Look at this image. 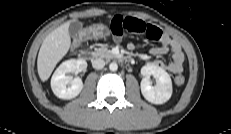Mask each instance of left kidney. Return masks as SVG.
<instances>
[{
	"mask_svg": "<svg viewBox=\"0 0 231 134\" xmlns=\"http://www.w3.org/2000/svg\"><path fill=\"white\" fill-rule=\"evenodd\" d=\"M141 93L144 98L153 104H163L172 95V81L169 74L161 67L147 64L141 68ZM156 79V85H152L150 77Z\"/></svg>",
	"mask_w": 231,
	"mask_h": 134,
	"instance_id": "left-kidney-1",
	"label": "left kidney"
}]
</instances>
